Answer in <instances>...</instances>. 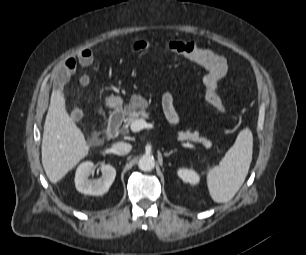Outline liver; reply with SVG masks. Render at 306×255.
<instances>
[{"mask_svg":"<svg viewBox=\"0 0 306 255\" xmlns=\"http://www.w3.org/2000/svg\"><path fill=\"white\" fill-rule=\"evenodd\" d=\"M41 149L43 168L54 184L89 153L84 134L66 111L61 90L52 92Z\"/></svg>","mask_w":306,"mask_h":255,"instance_id":"6515ba94","label":"liver"}]
</instances>
